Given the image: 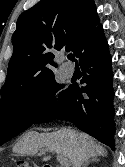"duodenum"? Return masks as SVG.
Returning <instances> with one entry per match:
<instances>
[{
    "label": "duodenum",
    "instance_id": "1",
    "mask_svg": "<svg viewBox=\"0 0 125 167\" xmlns=\"http://www.w3.org/2000/svg\"><path fill=\"white\" fill-rule=\"evenodd\" d=\"M43 167H51L50 165H44Z\"/></svg>",
    "mask_w": 125,
    "mask_h": 167
}]
</instances>
